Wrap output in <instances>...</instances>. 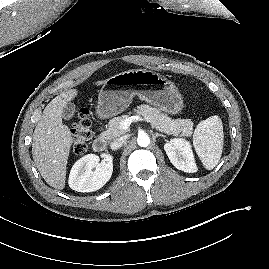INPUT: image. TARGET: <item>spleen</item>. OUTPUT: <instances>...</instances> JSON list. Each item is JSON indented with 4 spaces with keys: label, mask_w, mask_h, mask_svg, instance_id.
<instances>
[{
    "label": "spleen",
    "mask_w": 269,
    "mask_h": 269,
    "mask_svg": "<svg viewBox=\"0 0 269 269\" xmlns=\"http://www.w3.org/2000/svg\"><path fill=\"white\" fill-rule=\"evenodd\" d=\"M223 143V125L219 116H211L197 125L193 135V145L207 170H212L219 163Z\"/></svg>",
    "instance_id": "spleen-1"
}]
</instances>
